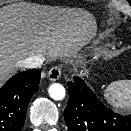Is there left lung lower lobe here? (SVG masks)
Here are the masks:
<instances>
[{"instance_id":"obj_1","label":"left lung lower lobe","mask_w":131,"mask_h":131,"mask_svg":"<svg viewBox=\"0 0 131 131\" xmlns=\"http://www.w3.org/2000/svg\"><path fill=\"white\" fill-rule=\"evenodd\" d=\"M69 102L64 118L69 131H131V115L107 108L79 77L68 83Z\"/></svg>"}]
</instances>
